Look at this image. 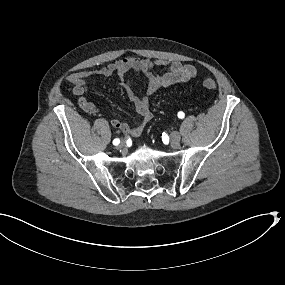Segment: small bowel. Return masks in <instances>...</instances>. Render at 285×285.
<instances>
[{
  "label": "small bowel",
  "mask_w": 285,
  "mask_h": 285,
  "mask_svg": "<svg viewBox=\"0 0 285 285\" xmlns=\"http://www.w3.org/2000/svg\"><path fill=\"white\" fill-rule=\"evenodd\" d=\"M156 67L162 68V73H155L154 69ZM130 71L143 73L147 76L148 85L145 95L140 96L133 91L131 82L126 78L127 73ZM112 75H117L120 78V84L125 89L140 119L135 125H129L119 119H112L111 125L129 137H138L152 119L150 96L160 88L188 82L196 76V69L190 64H182L176 61L164 59L152 61L148 58L128 57L114 61L99 69L73 73L68 77V80L73 85V95L85 112L89 114L98 112L97 106L85 98V94L88 92L86 79Z\"/></svg>",
  "instance_id": "obj_1"
}]
</instances>
